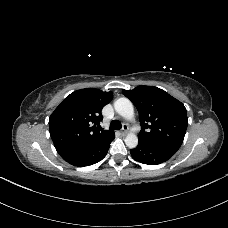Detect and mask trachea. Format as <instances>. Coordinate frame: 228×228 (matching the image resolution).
I'll return each instance as SVG.
<instances>
[{"label": "trachea", "instance_id": "obj_1", "mask_svg": "<svg viewBox=\"0 0 228 228\" xmlns=\"http://www.w3.org/2000/svg\"><path fill=\"white\" fill-rule=\"evenodd\" d=\"M121 128H122V125H121L120 121H118V120H113L110 123V129L111 130H119Z\"/></svg>", "mask_w": 228, "mask_h": 228}]
</instances>
